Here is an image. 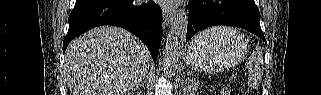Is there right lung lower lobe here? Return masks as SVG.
Masks as SVG:
<instances>
[{
	"label": "right lung lower lobe",
	"mask_w": 321,
	"mask_h": 95,
	"mask_svg": "<svg viewBox=\"0 0 321 95\" xmlns=\"http://www.w3.org/2000/svg\"><path fill=\"white\" fill-rule=\"evenodd\" d=\"M69 29L63 42L66 50L72 39L100 25L123 27L137 36L150 50L154 61L162 39V13L154 1L87 0L76 3L69 16Z\"/></svg>",
	"instance_id": "right-lung-lower-lobe-1"
}]
</instances>
